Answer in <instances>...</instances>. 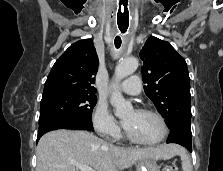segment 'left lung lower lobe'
Returning <instances> with one entry per match:
<instances>
[{"instance_id":"1","label":"left lung lower lobe","mask_w":223,"mask_h":171,"mask_svg":"<svg viewBox=\"0 0 223 171\" xmlns=\"http://www.w3.org/2000/svg\"><path fill=\"white\" fill-rule=\"evenodd\" d=\"M171 132L168 136L167 143H177L184 146L188 151L192 152L191 146V131L181 127L176 126L170 129Z\"/></svg>"}]
</instances>
